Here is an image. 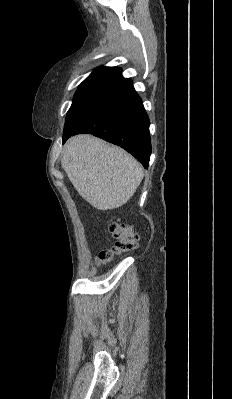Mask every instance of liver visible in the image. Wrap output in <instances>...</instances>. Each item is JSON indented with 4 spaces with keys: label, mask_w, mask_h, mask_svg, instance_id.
<instances>
[{
    "label": "liver",
    "mask_w": 232,
    "mask_h": 399,
    "mask_svg": "<svg viewBox=\"0 0 232 399\" xmlns=\"http://www.w3.org/2000/svg\"><path fill=\"white\" fill-rule=\"evenodd\" d=\"M61 166L78 194L97 209H114L134 196L142 166L118 146L94 136L68 140Z\"/></svg>",
    "instance_id": "liver-1"
}]
</instances>
